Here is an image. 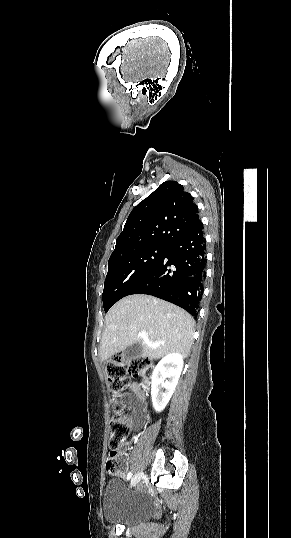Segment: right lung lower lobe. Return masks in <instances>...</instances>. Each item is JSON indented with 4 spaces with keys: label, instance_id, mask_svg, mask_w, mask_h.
Segmentation results:
<instances>
[{
    "label": "right lung lower lobe",
    "instance_id": "1",
    "mask_svg": "<svg viewBox=\"0 0 291 538\" xmlns=\"http://www.w3.org/2000/svg\"><path fill=\"white\" fill-rule=\"evenodd\" d=\"M203 225L171 243L149 275L130 293L174 303L197 318L206 278Z\"/></svg>",
    "mask_w": 291,
    "mask_h": 538
}]
</instances>
